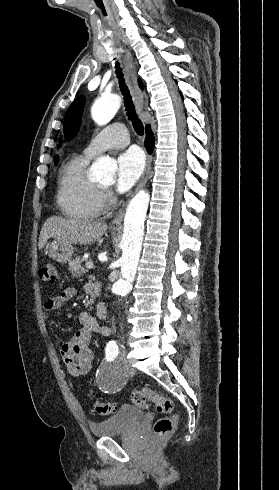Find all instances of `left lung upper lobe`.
Instances as JSON below:
<instances>
[{
	"label": "left lung upper lobe",
	"mask_w": 279,
	"mask_h": 490,
	"mask_svg": "<svg viewBox=\"0 0 279 490\" xmlns=\"http://www.w3.org/2000/svg\"><path fill=\"white\" fill-rule=\"evenodd\" d=\"M84 98L78 97L69 107L64 118V131L67 139H71L78 131L83 111Z\"/></svg>",
	"instance_id": "5c2ea615"
}]
</instances>
